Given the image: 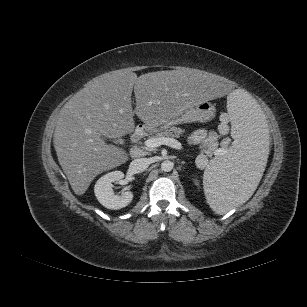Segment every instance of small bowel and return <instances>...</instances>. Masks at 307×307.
Returning <instances> with one entry per match:
<instances>
[{
    "label": "small bowel",
    "instance_id": "small-bowel-1",
    "mask_svg": "<svg viewBox=\"0 0 307 307\" xmlns=\"http://www.w3.org/2000/svg\"><path fill=\"white\" fill-rule=\"evenodd\" d=\"M206 136V131L205 130H196L194 131L191 136H190V140L193 142V143H198L200 141H202Z\"/></svg>",
    "mask_w": 307,
    "mask_h": 307
}]
</instances>
